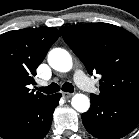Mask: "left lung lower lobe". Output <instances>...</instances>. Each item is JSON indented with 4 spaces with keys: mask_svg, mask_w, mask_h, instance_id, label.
Masks as SVG:
<instances>
[{
    "mask_svg": "<svg viewBox=\"0 0 139 139\" xmlns=\"http://www.w3.org/2000/svg\"><path fill=\"white\" fill-rule=\"evenodd\" d=\"M90 109L82 114L89 133L100 139H119L139 123V93L111 101L92 94Z\"/></svg>",
    "mask_w": 139,
    "mask_h": 139,
    "instance_id": "1",
    "label": "left lung lower lobe"
}]
</instances>
